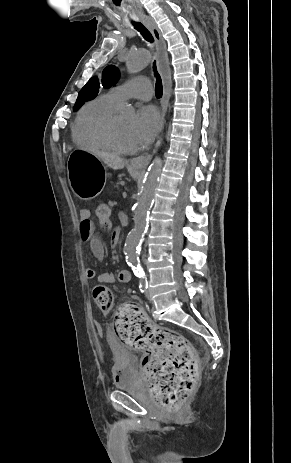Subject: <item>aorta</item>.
<instances>
[{"mask_svg":"<svg viewBox=\"0 0 291 463\" xmlns=\"http://www.w3.org/2000/svg\"><path fill=\"white\" fill-rule=\"evenodd\" d=\"M150 62L151 56L147 50L131 52L128 54L126 59L127 71L131 74H136L147 67ZM161 168V158L156 157L148 168L134 210V228L129 232L124 245L126 262L137 274H141L138 249L147 229L148 213L154 200Z\"/></svg>","mask_w":291,"mask_h":463,"instance_id":"762f6f07","label":"aorta"}]
</instances>
